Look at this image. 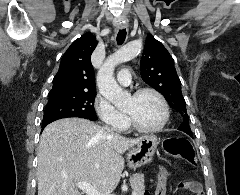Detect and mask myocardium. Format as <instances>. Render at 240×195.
<instances>
[{
    "label": "myocardium",
    "mask_w": 240,
    "mask_h": 195,
    "mask_svg": "<svg viewBox=\"0 0 240 195\" xmlns=\"http://www.w3.org/2000/svg\"><path fill=\"white\" fill-rule=\"evenodd\" d=\"M145 93H151L154 96H156L157 99L159 100L161 107H162V118H161L160 122L155 126L142 127L135 122V120L132 118V116L129 113L123 112L124 117H125V126L127 128H131L132 130H134L138 133H143V134L155 133V132L160 131L162 128H164V126L168 122L169 107H168V103H167L165 97L163 96V94L160 93L158 90L150 88V87H144V88L138 89L136 92L133 93L132 97L137 98Z\"/></svg>",
    "instance_id": "myocardium-1"
}]
</instances>
